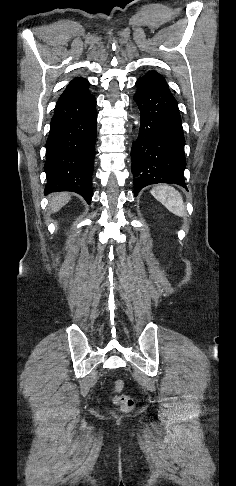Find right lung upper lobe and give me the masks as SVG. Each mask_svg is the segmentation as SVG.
<instances>
[{"label": "right lung upper lobe", "instance_id": "right-lung-upper-lobe-1", "mask_svg": "<svg viewBox=\"0 0 236 486\" xmlns=\"http://www.w3.org/2000/svg\"><path fill=\"white\" fill-rule=\"evenodd\" d=\"M89 82L82 77L74 78L66 87L57 103L85 97L89 93Z\"/></svg>", "mask_w": 236, "mask_h": 486}]
</instances>
